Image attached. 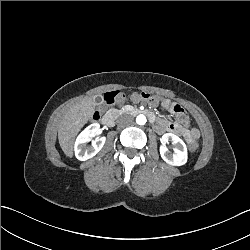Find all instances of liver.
Masks as SVG:
<instances>
[{"mask_svg": "<svg viewBox=\"0 0 250 250\" xmlns=\"http://www.w3.org/2000/svg\"><path fill=\"white\" fill-rule=\"evenodd\" d=\"M94 97L83 98L65 114L58 130L59 144L67 156L73 154V142L79 129L92 117Z\"/></svg>", "mask_w": 250, "mask_h": 250, "instance_id": "liver-1", "label": "liver"}]
</instances>
